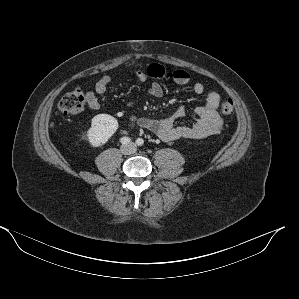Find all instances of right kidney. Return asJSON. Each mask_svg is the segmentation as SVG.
Returning <instances> with one entry per match:
<instances>
[{
	"mask_svg": "<svg viewBox=\"0 0 299 299\" xmlns=\"http://www.w3.org/2000/svg\"><path fill=\"white\" fill-rule=\"evenodd\" d=\"M118 129V121L111 115L98 114L92 118L87 138L91 146L104 145Z\"/></svg>",
	"mask_w": 299,
	"mask_h": 299,
	"instance_id": "ca27d5eb",
	"label": "right kidney"
}]
</instances>
